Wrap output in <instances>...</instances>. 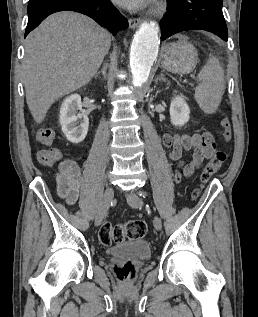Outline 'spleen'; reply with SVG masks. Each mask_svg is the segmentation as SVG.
Instances as JSON below:
<instances>
[{
  "label": "spleen",
  "instance_id": "1",
  "mask_svg": "<svg viewBox=\"0 0 258 317\" xmlns=\"http://www.w3.org/2000/svg\"><path fill=\"white\" fill-rule=\"evenodd\" d=\"M200 84L195 88V98L206 114H213L217 110L224 92V72L216 58L211 56L198 74Z\"/></svg>",
  "mask_w": 258,
  "mask_h": 317
}]
</instances>
